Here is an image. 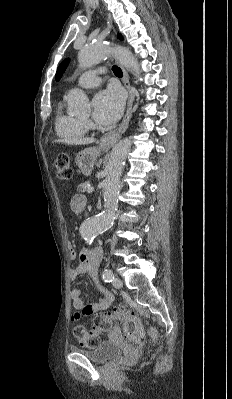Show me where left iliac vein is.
<instances>
[{"mask_svg":"<svg viewBox=\"0 0 232 399\" xmlns=\"http://www.w3.org/2000/svg\"><path fill=\"white\" fill-rule=\"evenodd\" d=\"M111 286H114L115 289H122V281L121 278H114V281H111Z\"/></svg>","mask_w":232,"mask_h":399,"instance_id":"left-iliac-vein-1","label":"left iliac vein"}]
</instances>
